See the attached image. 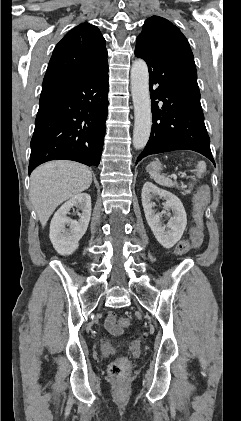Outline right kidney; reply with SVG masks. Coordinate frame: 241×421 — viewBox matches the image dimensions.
I'll return each mask as SVG.
<instances>
[{
    "instance_id": "right-kidney-1",
    "label": "right kidney",
    "mask_w": 241,
    "mask_h": 421,
    "mask_svg": "<svg viewBox=\"0 0 241 421\" xmlns=\"http://www.w3.org/2000/svg\"><path fill=\"white\" fill-rule=\"evenodd\" d=\"M73 207H78L82 211L78 221L67 217ZM90 217L91 197L87 193L72 197L57 210L51 220L49 237L59 254L70 255L78 248L79 240L87 230ZM66 226H69V229Z\"/></svg>"
}]
</instances>
